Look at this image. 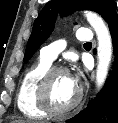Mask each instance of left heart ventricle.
<instances>
[{
    "label": "left heart ventricle",
    "mask_w": 118,
    "mask_h": 123,
    "mask_svg": "<svg viewBox=\"0 0 118 123\" xmlns=\"http://www.w3.org/2000/svg\"><path fill=\"white\" fill-rule=\"evenodd\" d=\"M77 85L71 81L69 73H59L52 83V100L58 107L70 104L77 94Z\"/></svg>",
    "instance_id": "obj_1"
}]
</instances>
